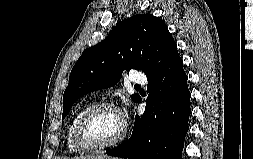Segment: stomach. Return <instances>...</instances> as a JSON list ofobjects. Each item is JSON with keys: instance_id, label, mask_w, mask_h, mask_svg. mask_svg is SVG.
Listing matches in <instances>:
<instances>
[{"instance_id": "1", "label": "stomach", "mask_w": 253, "mask_h": 159, "mask_svg": "<svg viewBox=\"0 0 253 159\" xmlns=\"http://www.w3.org/2000/svg\"><path fill=\"white\" fill-rule=\"evenodd\" d=\"M102 159H118V158L108 157V158H102Z\"/></svg>"}]
</instances>
